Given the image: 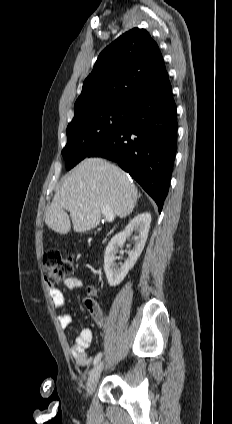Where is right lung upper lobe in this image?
<instances>
[{"label":"right lung upper lobe","instance_id":"right-lung-upper-lobe-1","mask_svg":"<svg viewBox=\"0 0 232 424\" xmlns=\"http://www.w3.org/2000/svg\"><path fill=\"white\" fill-rule=\"evenodd\" d=\"M167 76L157 43L146 30L134 28L100 53L75 102V115L99 105L132 106Z\"/></svg>","mask_w":232,"mask_h":424}]
</instances>
